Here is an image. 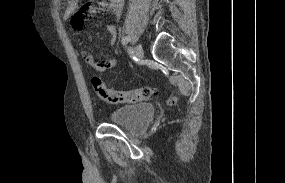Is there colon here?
Here are the masks:
<instances>
[{
  "label": "colon",
  "mask_w": 285,
  "mask_h": 183,
  "mask_svg": "<svg viewBox=\"0 0 285 183\" xmlns=\"http://www.w3.org/2000/svg\"><path fill=\"white\" fill-rule=\"evenodd\" d=\"M92 87L97 96L109 104L136 103L150 99L155 91L151 87H140L127 91L109 88L105 82L94 76L91 79ZM171 104L176 103V98L170 99Z\"/></svg>",
  "instance_id": "obj_1"
}]
</instances>
